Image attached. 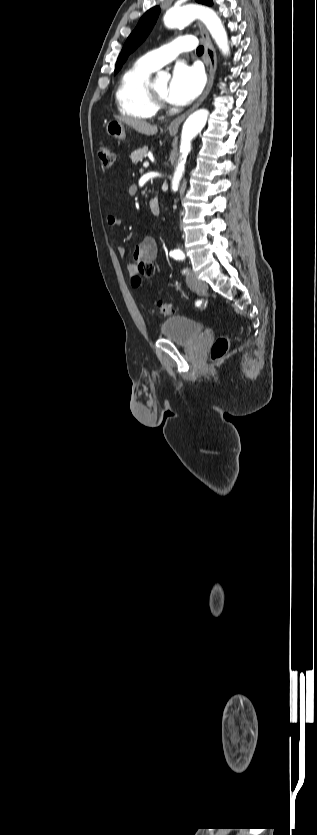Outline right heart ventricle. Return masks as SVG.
<instances>
[{
  "instance_id": "obj_1",
  "label": "right heart ventricle",
  "mask_w": 317,
  "mask_h": 835,
  "mask_svg": "<svg viewBox=\"0 0 317 835\" xmlns=\"http://www.w3.org/2000/svg\"><path fill=\"white\" fill-rule=\"evenodd\" d=\"M155 70L143 59H139L124 71L115 94L120 113L140 120L155 116L158 105L148 91L149 79Z\"/></svg>"
}]
</instances>
